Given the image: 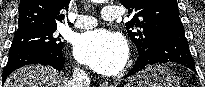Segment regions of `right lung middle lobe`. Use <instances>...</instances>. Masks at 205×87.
<instances>
[{"label":"right lung middle lobe","mask_w":205,"mask_h":87,"mask_svg":"<svg viewBox=\"0 0 205 87\" xmlns=\"http://www.w3.org/2000/svg\"><path fill=\"white\" fill-rule=\"evenodd\" d=\"M57 28L35 29L16 32L11 48L37 47L50 52H62L61 35L57 36Z\"/></svg>","instance_id":"1"}]
</instances>
